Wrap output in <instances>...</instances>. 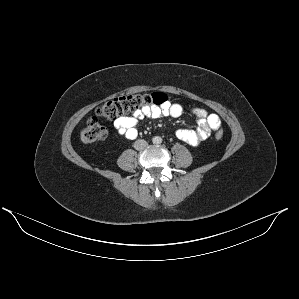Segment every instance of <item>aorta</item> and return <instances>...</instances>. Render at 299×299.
Returning a JSON list of instances; mask_svg holds the SVG:
<instances>
[{
	"mask_svg": "<svg viewBox=\"0 0 299 299\" xmlns=\"http://www.w3.org/2000/svg\"><path fill=\"white\" fill-rule=\"evenodd\" d=\"M154 142H155V143H158V140H157V138H155V139H154Z\"/></svg>",
	"mask_w": 299,
	"mask_h": 299,
	"instance_id": "1",
	"label": "aorta"
}]
</instances>
